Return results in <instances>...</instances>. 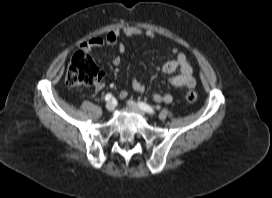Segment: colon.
I'll return each mask as SVG.
<instances>
[{
	"label": "colon",
	"instance_id": "colon-1",
	"mask_svg": "<svg viewBox=\"0 0 272 198\" xmlns=\"http://www.w3.org/2000/svg\"><path fill=\"white\" fill-rule=\"evenodd\" d=\"M100 76L101 72L90 54L86 51H78L70 61L65 81L70 87L88 86L95 83ZM197 98L198 95L195 91H188L186 93V100L189 103L196 102Z\"/></svg>",
	"mask_w": 272,
	"mask_h": 198
}]
</instances>
